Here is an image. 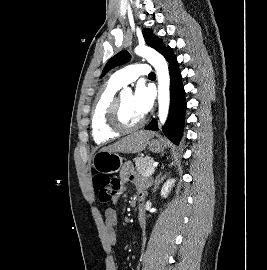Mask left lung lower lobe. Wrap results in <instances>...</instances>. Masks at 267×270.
I'll use <instances>...</instances> for the list:
<instances>
[{
	"label": "left lung lower lobe",
	"instance_id": "obj_1",
	"mask_svg": "<svg viewBox=\"0 0 267 270\" xmlns=\"http://www.w3.org/2000/svg\"><path fill=\"white\" fill-rule=\"evenodd\" d=\"M163 56L169 63L171 101L169 116L162 129L165 136L178 145L184 127L186 110L185 91L181 82V73L178 69V62L172 49L169 48ZM145 129L157 131L158 125L156 119L153 118Z\"/></svg>",
	"mask_w": 267,
	"mask_h": 270
}]
</instances>
